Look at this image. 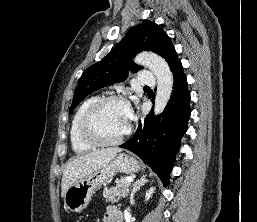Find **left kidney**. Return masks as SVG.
<instances>
[{
    "label": "left kidney",
    "mask_w": 257,
    "mask_h": 222,
    "mask_svg": "<svg viewBox=\"0 0 257 222\" xmlns=\"http://www.w3.org/2000/svg\"><path fill=\"white\" fill-rule=\"evenodd\" d=\"M153 193H154V188L151 187V188L146 192L145 200L148 201V200L151 198V196H152Z\"/></svg>",
    "instance_id": "1"
}]
</instances>
